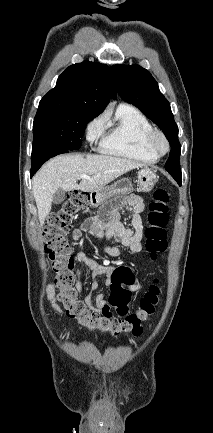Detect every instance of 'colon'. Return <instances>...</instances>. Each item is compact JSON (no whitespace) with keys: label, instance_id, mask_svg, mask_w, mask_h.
<instances>
[{"label":"colon","instance_id":"1","mask_svg":"<svg viewBox=\"0 0 213 433\" xmlns=\"http://www.w3.org/2000/svg\"><path fill=\"white\" fill-rule=\"evenodd\" d=\"M168 201V192L158 188L154 191L148 207L145 247L152 259H157L167 248ZM88 203V197L84 193L71 192L62 208L49 215L44 228L45 248L53 263L55 284L60 290L59 300L68 315L88 329L112 335H139L143 330V324L153 316L159 305L160 289L157 281L149 286L140 300L138 310L133 313L129 311V287L134 282V272L128 266L117 267L112 275L109 301L118 316L92 310L78 299L73 274L75 260L66 236L71 231L74 220Z\"/></svg>","mask_w":213,"mask_h":433}]
</instances>
